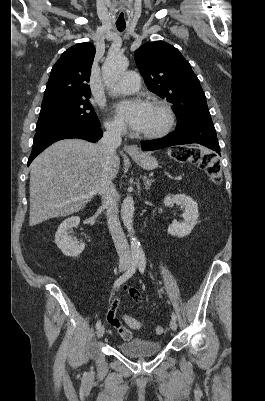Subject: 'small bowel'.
<instances>
[{"mask_svg": "<svg viewBox=\"0 0 265 401\" xmlns=\"http://www.w3.org/2000/svg\"><path fill=\"white\" fill-rule=\"evenodd\" d=\"M134 300H136V301H140L141 300V295H140V293L136 290V289H133V288H125L124 289ZM118 305H119V299L117 298V299H115V300H113V302H112V304H111V307H110V310H109V313H112L116 318H117V316H116V310H117V307H118ZM118 319V318H117ZM119 320V319H118ZM109 321V320H108ZM109 323H110V321H109ZM111 324V323H110ZM112 326H114L113 324H111ZM114 327H116V326H114ZM132 338V333H131V331H130V336L127 338V339H124L125 341H128V340H130Z\"/></svg>", "mask_w": 265, "mask_h": 401, "instance_id": "c3829d8e", "label": "small bowel"}]
</instances>
